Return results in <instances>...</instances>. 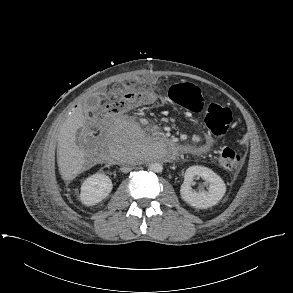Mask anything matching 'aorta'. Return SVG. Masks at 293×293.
<instances>
[{
	"label": "aorta",
	"mask_w": 293,
	"mask_h": 293,
	"mask_svg": "<svg viewBox=\"0 0 293 293\" xmlns=\"http://www.w3.org/2000/svg\"><path fill=\"white\" fill-rule=\"evenodd\" d=\"M159 146V149H160V153L161 154H164L165 153V144L164 143H157ZM149 169L152 171V172H155V173H159V172H162L163 170V166L161 163L159 162H153L149 165Z\"/></svg>",
	"instance_id": "aorta-1"
}]
</instances>
